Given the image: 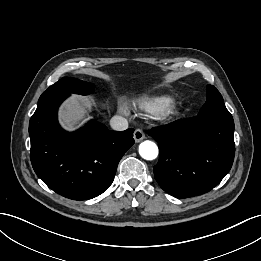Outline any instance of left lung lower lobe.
Wrapping results in <instances>:
<instances>
[{"instance_id": "1", "label": "left lung lower lobe", "mask_w": 261, "mask_h": 261, "mask_svg": "<svg viewBox=\"0 0 261 261\" xmlns=\"http://www.w3.org/2000/svg\"><path fill=\"white\" fill-rule=\"evenodd\" d=\"M159 144L153 168L161 188L177 198L212 190L230 171L234 155L233 118L196 116L149 131Z\"/></svg>"}]
</instances>
